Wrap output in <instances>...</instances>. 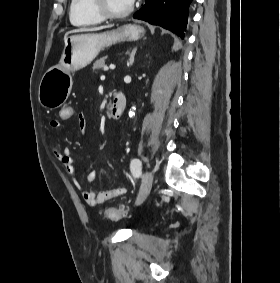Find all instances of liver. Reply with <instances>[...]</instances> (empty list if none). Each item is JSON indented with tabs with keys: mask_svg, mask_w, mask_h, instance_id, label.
Returning a JSON list of instances; mask_svg holds the SVG:
<instances>
[{
	"mask_svg": "<svg viewBox=\"0 0 280 283\" xmlns=\"http://www.w3.org/2000/svg\"><path fill=\"white\" fill-rule=\"evenodd\" d=\"M110 27H112V25L100 26V27H84V28L74 29V30L69 31L65 34L64 41L66 42L68 35L71 34V33L93 32V31H99V30H102V29L110 28Z\"/></svg>",
	"mask_w": 280,
	"mask_h": 283,
	"instance_id": "6515ba94",
	"label": "liver"
}]
</instances>
